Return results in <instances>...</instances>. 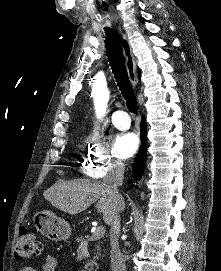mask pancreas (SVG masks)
<instances>
[{
  "label": "pancreas",
  "instance_id": "1",
  "mask_svg": "<svg viewBox=\"0 0 221 271\" xmlns=\"http://www.w3.org/2000/svg\"><path fill=\"white\" fill-rule=\"evenodd\" d=\"M77 242H89V237H77ZM98 249H100V247H98ZM96 257L97 255H95L93 259H89L88 263H85V265H88V267L89 265H94ZM90 269H92V267H90Z\"/></svg>",
  "mask_w": 221,
  "mask_h": 271
}]
</instances>
